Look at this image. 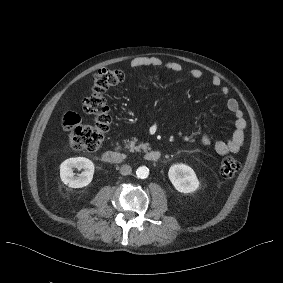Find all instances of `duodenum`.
I'll use <instances>...</instances> for the list:
<instances>
[{
	"mask_svg": "<svg viewBox=\"0 0 283 283\" xmlns=\"http://www.w3.org/2000/svg\"><path fill=\"white\" fill-rule=\"evenodd\" d=\"M126 159L125 155L117 150H109L103 154V160L109 164H120ZM144 159L149 162H157L161 159V153L156 150L147 152Z\"/></svg>",
	"mask_w": 283,
	"mask_h": 283,
	"instance_id": "obj_1",
	"label": "duodenum"
}]
</instances>
